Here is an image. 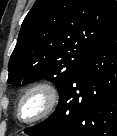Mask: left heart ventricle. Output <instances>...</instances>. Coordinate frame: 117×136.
<instances>
[{
  "label": "left heart ventricle",
  "mask_w": 117,
  "mask_h": 136,
  "mask_svg": "<svg viewBox=\"0 0 117 136\" xmlns=\"http://www.w3.org/2000/svg\"><path fill=\"white\" fill-rule=\"evenodd\" d=\"M45 103L44 96L41 93H32L24 101L21 107V117L23 119H29L38 114Z\"/></svg>",
  "instance_id": "obj_1"
}]
</instances>
